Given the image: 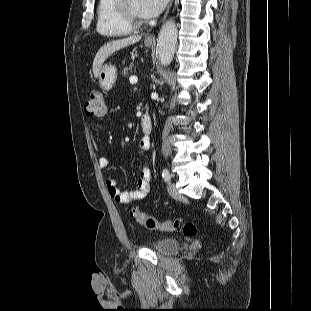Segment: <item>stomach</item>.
I'll return each instance as SVG.
<instances>
[{
  "instance_id": "stomach-1",
  "label": "stomach",
  "mask_w": 311,
  "mask_h": 311,
  "mask_svg": "<svg viewBox=\"0 0 311 311\" xmlns=\"http://www.w3.org/2000/svg\"><path fill=\"white\" fill-rule=\"evenodd\" d=\"M151 42L145 41L146 47H151ZM117 79V69L114 65H102L98 74L99 85L102 89L108 91L115 84Z\"/></svg>"
}]
</instances>
